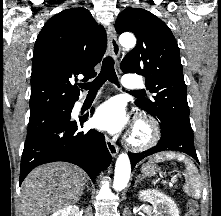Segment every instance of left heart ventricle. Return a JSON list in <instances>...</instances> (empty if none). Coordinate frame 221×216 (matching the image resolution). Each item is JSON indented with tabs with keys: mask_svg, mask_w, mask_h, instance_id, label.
I'll return each mask as SVG.
<instances>
[{
	"mask_svg": "<svg viewBox=\"0 0 221 216\" xmlns=\"http://www.w3.org/2000/svg\"><path fill=\"white\" fill-rule=\"evenodd\" d=\"M142 135V131L141 130H137L135 133L136 137H140Z\"/></svg>",
	"mask_w": 221,
	"mask_h": 216,
	"instance_id": "1",
	"label": "left heart ventricle"
}]
</instances>
